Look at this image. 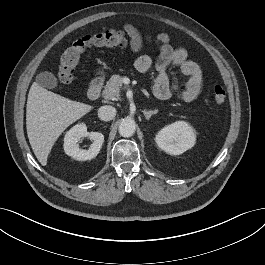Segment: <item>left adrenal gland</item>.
I'll use <instances>...</instances> for the list:
<instances>
[{
    "label": "left adrenal gland",
    "mask_w": 265,
    "mask_h": 265,
    "mask_svg": "<svg viewBox=\"0 0 265 265\" xmlns=\"http://www.w3.org/2000/svg\"><path fill=\"white\" fill-rule=\"evenodd\" d=\"M157 113H158V110H154V111H152V110H144L143 111V114H144V116L146 117L147 120H149L152 115H155Z\"/></svg>",
    "instance_id": "1"
}]
</instances>
